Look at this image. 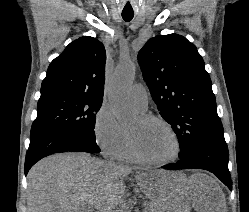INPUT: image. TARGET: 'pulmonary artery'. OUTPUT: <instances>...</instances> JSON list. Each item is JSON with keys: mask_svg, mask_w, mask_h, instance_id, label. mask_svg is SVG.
<instances>
[{"mask_svg": "<svg viewBox=\"0 0 249 212\" xmlns=\"http://www.w3.org/2000/svg\"><path fill=\"white\" fill-rule=\"evenodd\" d=\"M130 98L133 105L144 112L148 106V94L145 86L142 83H136L130 91Z\"/></svg>", "mask_w": 249, "mask_h": 212, "instance_id": "e3ab8cb5", "label": "pulmonary artery"}]
</instances>
